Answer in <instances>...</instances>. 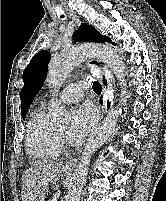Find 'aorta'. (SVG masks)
I'll return each mask as SVG.
<instances>
[{"label":"aorta","instance_id":"762f6f07","mask_svg":"<svg viewBox=\"0 0 166 201\" xmlns=\"http://www.w3.org/2000/svg\"><path fill=\"white\" fill-rule=\"evenodd\" d=\"M89 57H99L119 80L121 88H126V68L123 59L113 48L100 44L73 47L54 56L48 65L47 79L49 85L54 90L59 89L73 68ZM122 94L124 95V92ZM121 113L122 100L117 107L111 109L107 117L88 139L80 162L68 186L65 201H80L91 157L111 137ZM50 115L57 122H65L68 119L67 110L58 102L52 104Z\"/></svg>","mask_w":166,"mask_h":201}]
</instances>
